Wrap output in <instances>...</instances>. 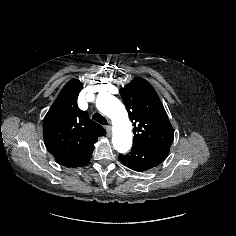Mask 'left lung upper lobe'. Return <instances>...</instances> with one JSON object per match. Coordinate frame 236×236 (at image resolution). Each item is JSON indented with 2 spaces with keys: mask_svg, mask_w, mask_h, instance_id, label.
Masks as SVG:
<instances>
[{
  "mask_svg": "<svg viewBox=\"0 0 236 236\" xmlns=\"http://www.w3.org/2000/svg\"><path fill=\"white\" fill-rule=\"evenodd\" d=\"M134 125L133 146L170 148L174 131L161 100L145 79H136L120 89Z\"/></svg>",
  "mask_w": 236,
  "mask_h": 236,
  "instance_id": "left-lung-upper-lobe-1",
  "label": "left lung upper lobe"
}]
</instances>
